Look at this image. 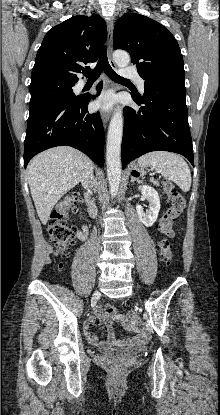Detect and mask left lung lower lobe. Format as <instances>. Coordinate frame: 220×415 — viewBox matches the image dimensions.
Returning <instances> with one entry per match:
<instances>
[{"mask_svg": "<svg viewBox=\"0 0 220 415\" xmlns=\"http://www.w3.org/2000/svg\"><path fill=\"white\" fill-rule=\"evenodd\" d=\"M184 80H145L144 94H132L142 105L138 111L124 108L122 168L151 151H170L185 156L194 166L188 124Z\"/></svg>", "mask_w": 220, "mask_h": 415, "instance_id": "obj_1", "label": "left lung lower lobe"}]
</instances>
